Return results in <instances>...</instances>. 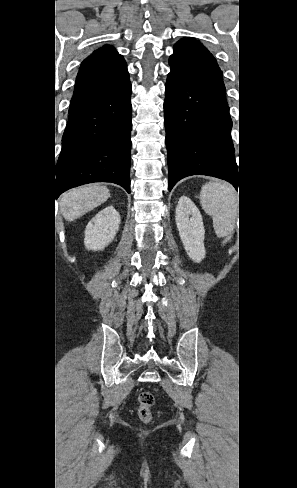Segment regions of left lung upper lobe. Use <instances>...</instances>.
I'll return each instance as SVG.
<instances>
[{"label": "left lung upper lobe", "mask_w": 297, "mask_h": 488, "mask_svg": "<svg viewBox=\"0 0 297 488\" xmlns=\"http://www.w3.org/2000/svg\"><path fill=\"white\" fill-rule=\"evenodd\" d=\"M170 73L179 75L201 90L227 102L222 71L212 54L193 38H183L174 45Z\"/></svg>", "instance_id": "obj_1"}]
</instances>
